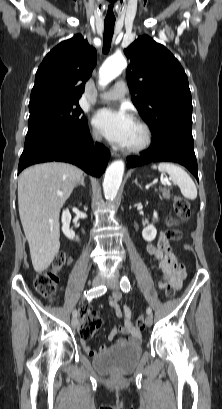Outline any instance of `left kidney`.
I'll return each mask as SVG.
<instances>
[{"instance_id":"5707ae66","label":"left kidney","mask_w":222,"mask_h":409,"mask_svg":"<svg viewBox=\"0 0 222 409\" xmlns=\"http://www.w3.org/2000/svg\"><path fill=\"white\" fill-rule=\"evenodd\" d=\"M157 219H158L157 212L154 211V213H153V221H155V220H157ZM156 235H157V230H156V228L154 227L153 224L148 225V226L145 227V228L143 229V231H142V236H143V238H144L145 241H149V242H150V241H153V240L155 239Z\"/></svg>"}]
</instances>
